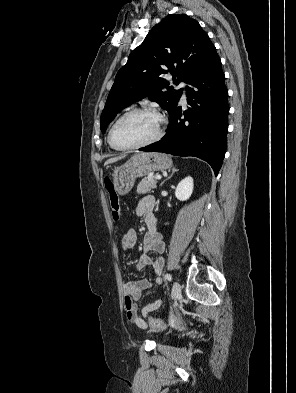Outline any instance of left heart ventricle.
Instances as JSON below:
<instances>
[{"label": "left heart ventricle", "mask_w": 296, "mask_h": 393, "mask_svg": "<svg viewBox=\"0 0 296 393\" xmlns=\"http://www.w3.org/2000/svg\"><path fill=\"white\" fill-rule=\"evenodd\" d=\"M158 118L149 113H136L119 123L114 139L118 145L131 146L151 139L158 129Z\"/></svg>", "instance_id": "b2bd125f"}]
</instances>
